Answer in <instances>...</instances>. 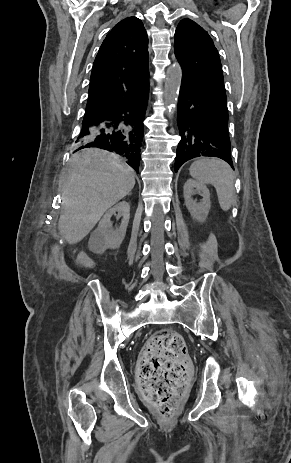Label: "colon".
<instances>
[{"instance_id":"5ec220e1","label":"colon","mask_w":291,"mask_h":463,"mask_svg":"<svg viewBox=\"0 0 291 463\" xmlns=\"http://www.w3.org/2000/svg\"><path fill=\"white\" fill-rule=\"evenodd\" d=\"M78 261L89 264L84 253L78 255ZM189 375L183 337L170 329L155 333L141 352L138 376L142 395L156 405L162 418L173 417L178 396L187 385Z\"/></svg>"}]
</instances>
